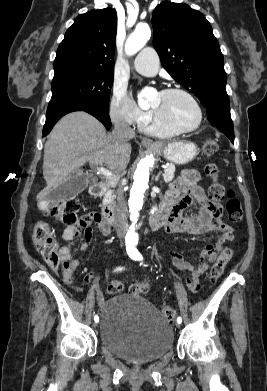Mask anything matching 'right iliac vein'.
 Here are the masks:
<instances>
[{
	"instance_id": "right-iliac-vein-1",
	"label": "right iliac vein",
	"mask_w": 267,
	"mask_h": 391,
	"mask_svg": "<svg viewBox=\"0 0 267 391\" xmlns=\"http://www.w3.org/2000/svg\"><path fill=\"white\" fill-rule=\"evenodd\" d=\"M97 325H98L97 323H94V324H93V327H97Z\"/></svg>"
}]
</instances>
